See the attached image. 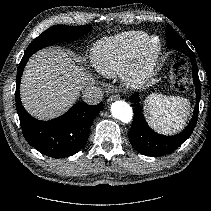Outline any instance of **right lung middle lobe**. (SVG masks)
<instances>
[{
  "mask_svg": "<svg viewBox=\"0 0 211 211\" xmlns=\"http://www.w3.org/2000/svg\"><path fill=\"white\" fill-rule=\"evenodd\" d=\"M92 27L90 25L84 26H63L56 25L52 26L38 37H36L29 47L27 48L24 55L31 56L39 49L53 45L57 42L73 41L87 34Z\"/></svg>",
  "mask_w": 211,
  "mask_h": 211,
  "instance_id": "obj_1",
  "label": "right lung middle lobe"
}]
</instances>
